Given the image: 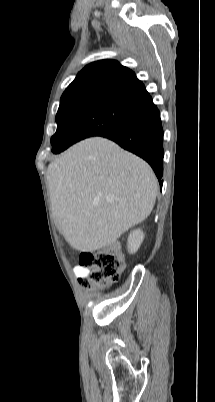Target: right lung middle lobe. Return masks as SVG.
<instances>
[{
    "label": "right lung middle lobe",
    "mask_w": 215,
    "mask_h": 402,
    "mask_svg": "<svg viewBox=\"0 0 215 402\" xmlns=\"http://www.w3.org/2000/svg\"><path fill=\"white\" fill-rule=\"evenodd\" d=\"M143 104L118 96L91 93L61 97L56 115L57 131L51 138L53 153L92 136H104L128 123Z\"/></svg>",
    "instance_id": "1"
}]
</instances>
